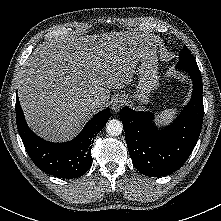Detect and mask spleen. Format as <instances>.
I'll list each match as a JSON object with an SVG mask.
<instances>
[{"mask_svg": "<svg viewBox=\"0 0 221 221\" xmlns=\"http://www.w3.org/2000/svg\"><path fill=\"white\" fill-rule=\"evenodd\" d=\"M176 109H166L159 113L157 120L163 123L170 122L176 115Z\"/></svg>", "mask_w": 221, "mask_h": 221, "instance_id": "spleen-1", "label": "spleen"}]
</instances>
